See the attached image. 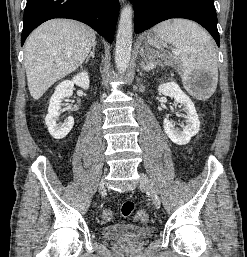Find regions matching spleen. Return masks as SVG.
<instances>
[{
	"instance_id": "spleen-1",
	"label": "spleen",
	"mask_w": 247,
	"mask_h": 257,
	"mask_svg": "<svg viewBox=\"0 0 247 257\" xmlns=\"http://www.w3.org/2000/svg\"><path fill=\"white\" fill-rule=\"evenodd\" d=\"M148 38L150 45L160 48L161 43L174 45L180 54L183 67V84L190 91L192 77L207 73L208 87L200 92V99L209 98L218 82V59L211 37L196 23L185 19L164 21L152 29Z\"/></svg>"
}]
</instances>
